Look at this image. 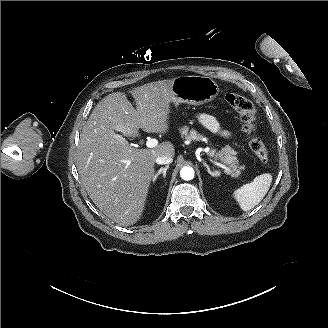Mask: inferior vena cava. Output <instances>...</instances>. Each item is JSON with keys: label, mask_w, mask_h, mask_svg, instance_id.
Instances as JSON below:
<instances>
[{"label": "inferior vena cava", "mask_w": 328, "mask_h": 328, "mask_svg": "<svg viewBox=\"0 0 328 328\" xmlns=\"http://www.w3.org/2000/svg\"><path fill=\"white\" fill-rule=\"evenodd\" d=\"M173 162V159L171 156H167V155H162L156 158V163L163 165V164H170Z\"/></svg>", "instance_id": "602c4592"}]
</instances>
